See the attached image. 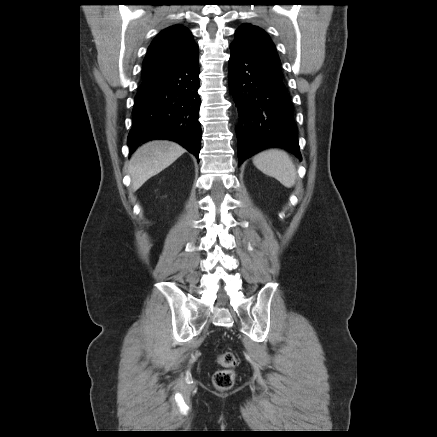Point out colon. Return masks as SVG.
Returning <instances> with one entry per match:
<instances>
[{
    "instance_id": "colon-1",
    "label": "colon",
    "mask_w": 437,
    "mask_h": 437,
    "mask_svg": "<svg viewBox=\"0 0 437 437\" xmlns=\"http://www.w3.org/2000/svg\"><path fill=\"white\" fill-rule=\"evenodd\" d=\"M218 363L222 369L217 370L213 376V384L219 390L230 389L235 381V368L238 365V359L232 352H225L219 355Z\"/></svg>"
}]
</instances>
